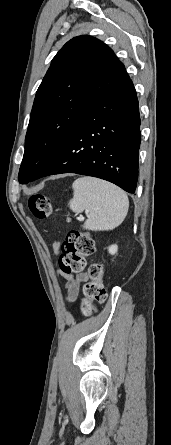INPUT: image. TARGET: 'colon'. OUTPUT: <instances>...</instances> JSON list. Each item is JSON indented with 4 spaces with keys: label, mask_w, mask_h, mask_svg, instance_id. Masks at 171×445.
Listing matches in <instances>:
<instances>
[{
    "label": "colon",
    "mask_w": 171,
    "mask_h": 445,
    "mask_svg": "<svg viewBox=\"0 0 171 445\" xmlns=\"http://www.w3.org/2000/svg\"><path fill=\"white\" fill-rule=\"evenodd\" d=\"M32 214L38 219L47 218L52 212L49 197L43 194L32 195L28 200ZM95 242L88 233L70 231L62 244L59 266L65 273L80 272L86 265V258L95 253ZM104 270L101 263L94 262L88 269V280L83 285L82 310L89 313L93 302H104L107 298L103 286Z\"/></svg>",
    "instance_id": "1"
}]
</instances>
